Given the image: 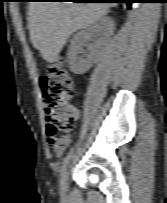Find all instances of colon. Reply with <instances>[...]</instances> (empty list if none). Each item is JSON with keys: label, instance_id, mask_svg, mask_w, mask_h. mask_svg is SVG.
<instances>
[{"label": "colon", "instance_id": "obj_1", "mask_svg": "<svg viewBox=\"0 0 167 203\" xmlns=\"http://www.w3.org/2000/svg\"><path fill=\"white\" fill-rule=\"evenodd\" d=\"M63 63V59L50 63L46 75L39 78L51 146L56 145L60 134L66 136L74 129L77 118L75 109L68 106L74 86Z\"/></svg>", "mask_w": 167, "mask_h": 203}]
</instances>
